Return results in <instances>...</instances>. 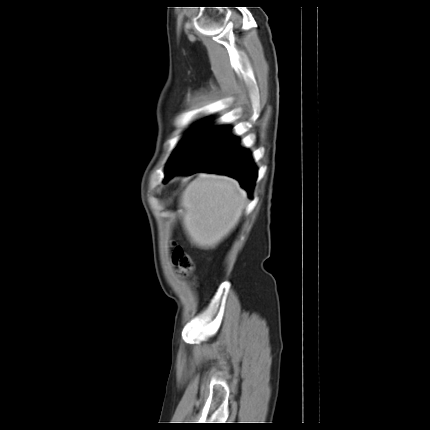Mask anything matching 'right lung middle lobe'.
Segmentation results:
<instances>
[{
  "label": "right lung middle lobe",
  "instance_id": "dd1d6c3e",
  "mask_svg": "<svg viewBox=\"0 0 430 430\" xmlns=\"http://www.w3.org/2000/svg\"><path fill=\"white\" fill-rule=\"evenodd\" d=\"M206 125L204 124L194 129V133L179 144L167 164V175H172L181 167L196 159L229 132L227 127L204 128Z\"/></svg>",
  "mask_w": 430,
  "mask_h": 430
}]
</instances>
